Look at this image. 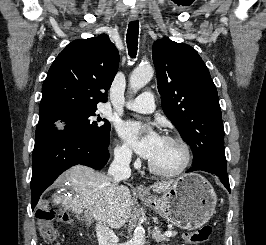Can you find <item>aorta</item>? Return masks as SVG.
I'll use <instances>...</instances> for the list:
<instances>
[{"mask_svg":"<svg viewBox=\"0 0 266 245\" xmlns=\"http://www.w3.org/2000/svg\"><path fill=\"white\" fill-rule=\"evenodd\" d=\"M152 76L153 68L150 64L134 68L129 78V86L132 92H138L140 88H143V86L151 80ZM131 245H145V229H143V227H135Z\"/></svg>","mask_w":266,"mask_h":245,"instance_id":"obj_1","label":"aorta"}]
</instances>
